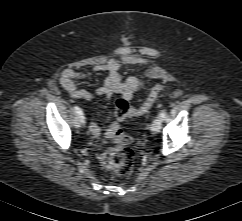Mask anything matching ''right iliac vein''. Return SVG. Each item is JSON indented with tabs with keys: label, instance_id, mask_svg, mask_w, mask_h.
<instances>
[{
	"label": "right iliac vein",
	"instance_id": "1",
	"mask_svg": "<svg viewBox=\"0 0 242 221\" xmlns=\"http://www.w3.org/2000/svg\"><path fill=\"white\" fill-rule=\"evenodd\" d=\"M81 118L79 117V116H76L75 118H74V126L76 127V128H79V127H81Z\"/></svg>",
	"mask_w": 242,
	"mask_h": 221
}]
</instances>
